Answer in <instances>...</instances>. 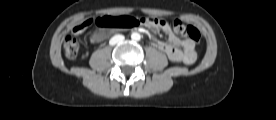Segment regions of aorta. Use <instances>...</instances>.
<instances>
[{
    "instance_id": "1",
    "label": "aorta",
    "mask_w": 276,
    "mask_h": 120,
    "mask_svg": "<svg viewBox=\"0 0 276 120\" xmlns=\"http://www.w3.org/2000/svg\"><path fill=\"white\" fill-rule=\"evenodd\" d=\"M131 39L134 40V41H139L141 39V35L137 32H133L131 34Z\"/></svg>"
}]
</instances>
